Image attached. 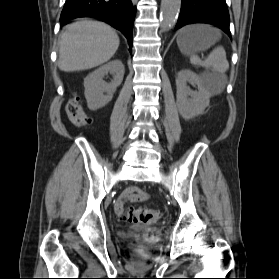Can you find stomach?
Returning <instances> with one entry per match:
<instances>
[{
	"label": "stomach",
	"mask_w": 279,
	"mask_h": 279,
	"mask_svg": "<svg viewBox=\"0 0 279 279\" xmlns=\"http://www.w3.org/2000/svg\"><path fill=\"white\" fill-rule=\"evenodd\" d=\"M220 37L217 30L207 25H191L177 36V44L183 54L189 55L211 47Z\"/></svg>",
	"instance_id": "0dacf381"
}]
</instances>
